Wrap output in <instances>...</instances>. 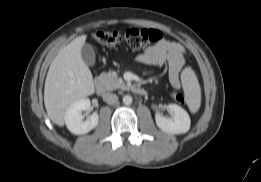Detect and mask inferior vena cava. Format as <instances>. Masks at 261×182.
<instances>
[{
  "label": "inferior vena cava",
  "mask_w": 261,
  "mask_h": 182,
  "mask_svg": "<svg viewBox=\"0 0 261 182\" xmlns=\"http://www.w3.org/2000/svg\"><path fill=\"white\" fill-rule=\"evenodd\" d=\"M103 100L108 104H115L118 101V96L112 93H106L103 95Z\"/></svg>",
  "instance_id": "1"
}]
</instances>
